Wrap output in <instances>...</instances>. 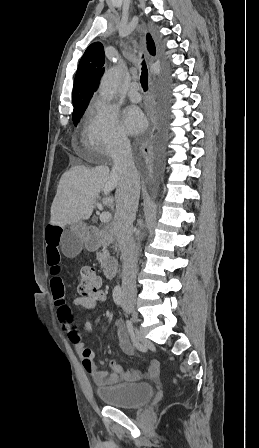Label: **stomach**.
<instances>
[{
    "instance_id": "1",
    "label": "stomach",
    "mask_w": 259,
    "mask_h": 448,
    "mask_svg": "<svg viewBox=\"0 0 259 448\" xmlns=\"http://www.w3.org/2000/svg\"><path fill=\"white\" fill-rule=\"evenodd\" d=\"M71 230L79 240H87V238H89V228H87L83 222L72 224Z\"/></svg>"
}]
</instances>
